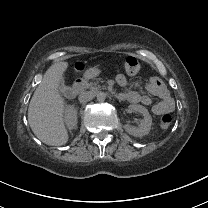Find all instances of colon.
Segmentation results:
<instances>
[{
    "label": "colon",
    "instance_id": "5ec220e1",
    "mask_svg": "<svg viewBox=\"0 0 208 208\" xmlns=\"http://www.w3.org/2000/svg\"><path fill=\"white\" fill-rule=\"evenodd\" d=\"M77 73L80 74L85 70V64L83 62H77L76 65ZM123 69L127 75H134L140 70V63L136 56L128 55L123 62ZM173 122L171 114H164L160 119V127L162 130H167Z\"/></svg>",
    "mask_w": 208,
    "mask_h": 208
}]
</instances>
